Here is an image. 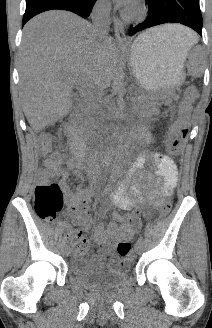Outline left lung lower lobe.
I'll return each mask as SVG.
<instances>
[{"label": "left lung lower lobe", "mask_w": 212, "mask_h": 328, "mask_svg": "<svg viewBox=\"0 0 212 328\" xmlns=\"http://www.w3.org/2000/svg\"><path fill=\"white\" fill-rule=\"evenodd\" d=\"M147 19L132 27L129 35L164 23H181L202 36V15L199 0H145Z\"/></svg>", "instance_id": "1"}]
</instances>
